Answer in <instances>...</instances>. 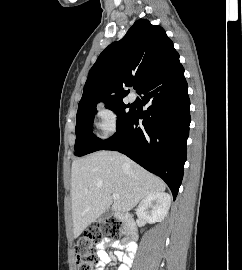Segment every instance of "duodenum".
I'll use <instances>...</instances> for the list:
<instances>
[{
    "instance_id": "410a0bca",
    "label": "duodenum",
    "mask_w": 242,
    "mask_h": 270,
    "mask_svg": "<svg viewBox=\"0 0 242 270\" xmlns=\"http://www.w3.org/2000/svg\"><path fill=\"white\" fill-rule=\"evenodd\" d=\"M116 216L126 224L128 238L130 242L134 243L137 239V229L132 216L128 213H118ZM130 250L134 252L135 248L132 247Z\"/></svg>"
}]
</instances>
